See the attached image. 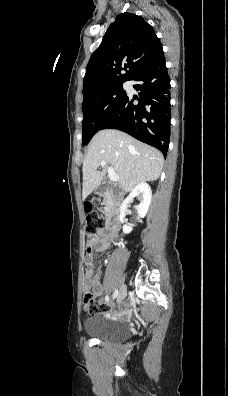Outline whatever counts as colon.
<instances>
[{
	"label": "colon",
	"mask_w": 228,
	"mask_h": 396,
	"mask_svg": "<svg viewBox=\"0 0 228 396\" xmlns=\"http://www.w3.org/2000/svg\"><path fill=\"white\" fill-rule=\"evenodd\" d=\"M96 204L99 203V200H96ZM85 210L87 213V235L88 238H91L93 234L98 230L103 228L104 221L102 217L98 214L93 213V204L92 203H86L85 204ZM96 229V231L93 233V230ZM84 305L86 311L95 316V315H109L112 317H115L117 315V310L113 309V307L108 304V303H101L96 300L95 296L87 292L84 295Z\"/></svg>",
	"instance_id": "colon-1"
}]
</instances>
